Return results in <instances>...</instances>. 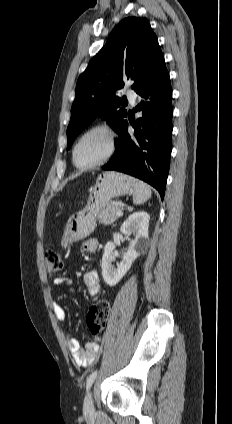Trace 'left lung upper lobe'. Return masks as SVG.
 Returning a JSON list of instances; mask_svg holds the SVG:
<instances>
[{
  "instance_id": "obj_1",
  "label": "left lung upper lobe",
  "mask_w": 232,
  "mask_h": 424,
  "mask_svg": "<svg viewBox=\"0 0 232 424\" xmlns=\"http://www.w3.org/2000/svg\"><path fill=\"white\" fill-rule=\"evenodd\" d=\"M162 59L157 37L146 18L122 20L78 78L67 128V149L97 116L119 133L127 117L117 96L118 90L124 86L123 81H132V89L136 90Z\"/></svg>"
}]
</instances>
